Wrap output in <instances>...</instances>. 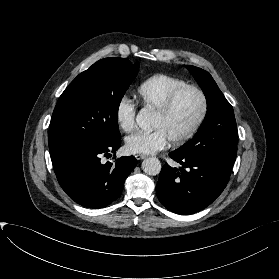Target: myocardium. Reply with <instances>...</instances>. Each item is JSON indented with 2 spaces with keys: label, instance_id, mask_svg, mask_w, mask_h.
<instances>
[{
  "label": "myocardium",
  "instance_id": "f54148a6",
  "mask_svg": "<svg viewBox=\"0 0 279 279\" xmlns=\"http://www.w3.org/2000/svg\"><path fill=\"white\" fill-rule=\"evenodd\" d=\"M188 90L194 91L200 96L201 102H202V107H201L200 114H199L197 120L195 121V123L192 125V127L182 136L170 140L171 143H173L175 145H180V144L186 143L187 141L192 139L197 134V132L200 130V128L202 127V125L207 117L208 109H209V102H208V97H207L206 93L204 92V90L202 88H200L196 85L186 84V85L180 86V87L174 89L167 96V98L165 99L162 106L155 111V113L160 116L167 115L172 110L174 103H175L176 99L179 97V95Z\"/></svg>",
  "mask_w": 279,
  "mask_h": 279
}]
</instances>
